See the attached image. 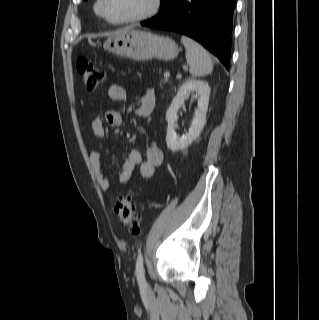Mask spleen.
Instances as JSON below:
<instances>
[{
    "mask_svg": "<svg viewBox=\"0 0 319 320\" xmlns=\"http://www.w3.org/2000/svg\"><path fill=\"white\" fill-rule=\"evenodd\" d=\"M181 42L186 49V61L190 66L191 75L198 77L211 73L213 63L208 52L199 43L187 36H182Z\"/></svg>",
    "mask_w": 319,
    "mask_h": 320,
    "instance_id": "1",
    "label": "spleen"
}]
</instances>
